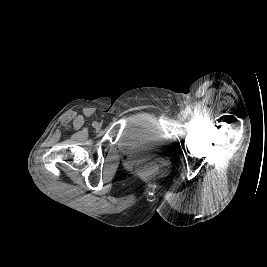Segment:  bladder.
<instances>
[{
  "mask_svg": "<svg viewBox=\"0 0 267 267\" xmlns=\"http://www.w3.org/2000/svg\"><path fill=\"white\" fill-rule=\"evenodd\" d=\"M165 145V136L156 120L149 114H138L123 128L117 150L120 154L157 152Z\"/></svg>",
  "mask_w": 267,
  "mask_h": 267,
  "instance_id": "31cf9c89",
  "label": "bladder"
}]
</instances>
